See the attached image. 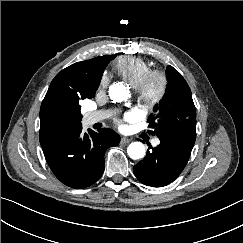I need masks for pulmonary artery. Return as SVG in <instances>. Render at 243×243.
Wrapping results in <instances>:
<instances>
[{
    "mask_svg": "<svg viewBox=\"0 0 243 243\" xmlns=\"http://www.w3.org/2000/svg\"><path fill=\"white\" fill-rule=\"evenodd\" d=\"M110 116L109 111L98 110L93 112H88L84 115L83 123L87 126L100 122ZM160 141L158 139L153 140V145H158Z\"/></svg>",
    "mask_w": 243,
    "mask_h": 243,
    "instance_id": "e3ab8cb5",
    "label": "pulmonary artery"
}]
</instances>
